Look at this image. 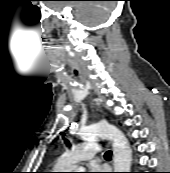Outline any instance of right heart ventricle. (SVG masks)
<instances>
[{
    "instance_id": "1",
    "label": "right heart ventricle",
    "mask_w": 170,
    "mask_h": 173,
    "mask_svg": "<svg viewBox=\"0 0 170 173\" xmlns=\"http://www.w3.org/2000/svg\"><path fill=\"white\" fill-rule=\"evenodd\" d=\"M66 165V162L63 160V158H59L56 164V169H62Z\"/></svg>"
}]
</instances>
